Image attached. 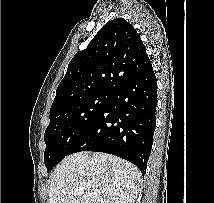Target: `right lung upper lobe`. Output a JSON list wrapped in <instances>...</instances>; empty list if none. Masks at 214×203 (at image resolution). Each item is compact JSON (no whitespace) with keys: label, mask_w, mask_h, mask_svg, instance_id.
I'll return each mask as SVG.
<instances>
[{"label":"right lung upper lobe","mask_w":214,"mask_h":203,"mask_svg":"<svg viewBox=\"0 0 214 203\" xmlns=\"http://www.w3.org/2000/svg\"><path fill=\"white\" fill-rule=\"evenodd\" d=\"M151 68L145 46L134 27L123 18L111 20L86 49L72 58L50 111L90 94H109Z\"/></svg>","instance_id":"right-lung-upper-lobe-1"}]
</instances>
